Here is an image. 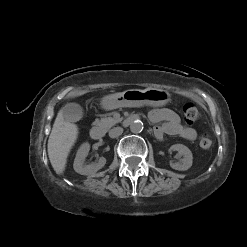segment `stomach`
<instances>
[{"label":"stomach","mask_w":247,"mask_h":247,"mask_svg":"<svg viewBox=\"0 0 247 247\" xmlns=\"http://www.w3.org/2000/svg\"><path fill=\"white\" fill-rule=\"evenodd\" d=\"M171 100V94L162 89L126 90L103 97L101 105L106 110L120 107L164 106Z\"/></svg>","instance_id":"obj_1"}]
</instances>
